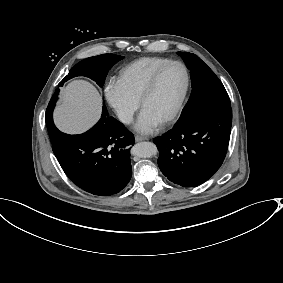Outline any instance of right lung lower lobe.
Listing matches in <instances>:
<instances>
[{"label": "right lung lower lobe", "instance_id": "98d812e1", "mask_svg": "<svg viewBox=\"0 0 283 283\" xmlns=\"http://www.w3.org/2000/svg\"><path fill=\"white\" fill-rule=\"evenodd\" d=\"M59 85H62L60 83ZM46 110V125L53 152L65 174L83 190L109 196L126 187L132 176L129 146L133 134L103 107L102 117L89 131L80 135L60 132L53 122L57 93Z\"/></svg>", "mask_w": 283, "mask_h": 283}]
</instances>
